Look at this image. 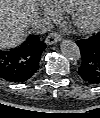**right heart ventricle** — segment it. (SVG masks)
I'll use <instances>...</instances> for the list:
<instances>
[{
  "instance_id": "right-heart-ventricle-1",
  "label": "right heart ventricle",
  "mask_w": 100,
  "mask_h": 118,
  "mask_svg": "<svg viewBox=\"0 0 100 118\" xmlns=\"http://www.w3.org/2000/svg\"><path fill=\"white\" fill-rule=\"evenodd\" d=\"M60 13H72L86 0H50Z\"/></svg>"
}]
</instances>
